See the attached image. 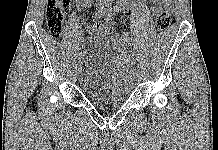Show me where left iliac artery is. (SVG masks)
Segmentation results:
<instances>
[{"instance_id": "left-iliac-artery-1", "label": "left iliac artery", "mask_w": 218, "mask_h": 150, "mask_svg": "<svg viewBox=\"0 0 218 150\" xmlns=\"http://www.w3.org/2000/svg\"><path fill=\"white\" fill-rule=\"evenodd\" d=\"M106 15L109 17L110 16V10L107 9L106 10ZM129 73H134V71H136V66H131L128 68Z\"/></svg>"}]
</instances>
